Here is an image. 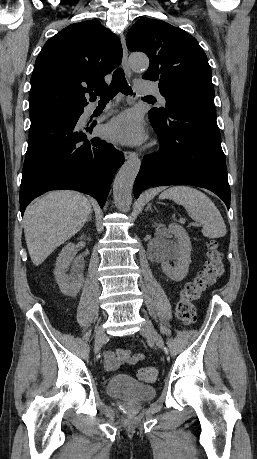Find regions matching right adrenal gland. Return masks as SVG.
Listing matches in <instances>:
<instances>
[{"mask_svg":"<svg viewBox=\"0 0 257 459\" xmlns=\"http://www.w3.org/2000/svg\"><path fill=\"white\" fill-rule=\"evenodd\" d=\"M88 221H92V215H91V214H90V215L88 216V218H87V222H88Z\"/></svg>","mask_w":257,"mask_h":459,"instance_id":"2a0ac1e0","label":"right adrenal gland"}]
</instances>
